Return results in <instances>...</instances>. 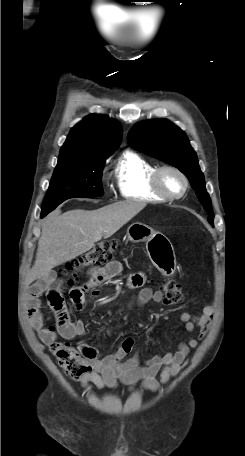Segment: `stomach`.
Returning <instances> with one entry per match:
<instances>
[{"label": "stomach", "instance_id": "stomach-1", "mask_svg": "<svg viewBox=\"0 0 245 456\" xmlns=\"http://www.w3.org/2000/svg\"><path fill=\"white\" fill-rule=\"evenodd\" d=\"M127 238L133 243L146 242L148 255L155 267L167 276L174 273L176 265L174 249L163 234L148 225L135 222L128 227Z\"/></svg>", "mask_w": 245, "mask_h": 456}]
</instances>
